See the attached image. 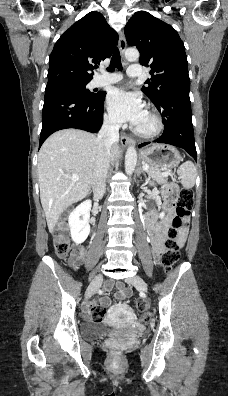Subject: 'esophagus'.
<instances>
[{"label": "esophagus", "instance_id": "34e87169", "mask_svg": "<svg viewBox=\"0 0 228 396\" xmlns=\"http://www.w3.org/2000/svg\"><path fill=\"white\" fill-rule=\"evenodd\" d=\"M119 50L122 54V56L124 55L125 49H126V39H125V35L124 32L121 31L119 34ZM123 63H126V60L124 59L123 56ZM120 142L123 146L129 145V144H135L134 140L128 136L122 135Z\"/></svg>", "mask_w": 228, "mask_h": 396}]
</instances>
